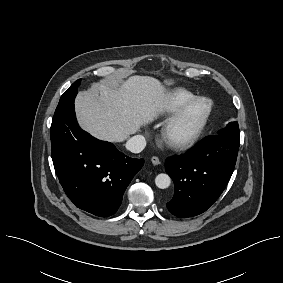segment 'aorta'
I'll use <instances>...</instances> for the list:
<instances>
[{
  "label": "aorta",
  "instance_id": "1",
  "mask_svg": "<svg viewBox=\"0 0 283 283\" xmlns=\"http://www.w3.org/2000/svg\"><path fill=\"white\" fill-rule=\"evenodd\" d=\"M171 178L168 174L161 173L155 178V184L160 189H166L170 186Z\"/></svg>",
  "mask_w": 283,
  "mask_h": 283
}]
</instances>
